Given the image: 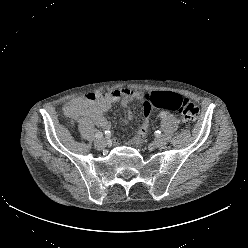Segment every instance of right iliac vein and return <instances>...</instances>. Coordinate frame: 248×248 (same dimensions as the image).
I'll return each mask as SVG.
<instances>
[{"label":"right iliac vein","instance_id":"right-iliac-vein-1","mask_svg":"<svg viewBox=\"0 0 248 248\" xmlns=\"http://www.w3.org/2000/svg\"><path fill=\"white\" fill-rule=\"evenodd\" d=\"M95 147L97 149H103L106 146V140L104 138H99L95 141Z\"/></svg>","mask_w":248,"mask_h":248}]
</instances>
